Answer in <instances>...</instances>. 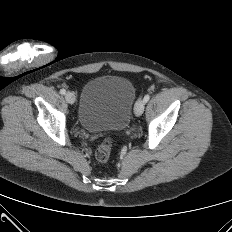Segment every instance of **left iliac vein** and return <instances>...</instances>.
Wrapping results in <instances>:
<instances>
[{
  "mask_svg": "<svg viewBox=\"0 0 232 232\" xmlns=\"http://www.w3.org/2000/svg\"><path fill=\"white\" fill-rule=\"evenodd\" d=\"M145 108V102L142 99L137 100L135 107H134V113L136 116L142 115Z\"/></svg>",
  "mask_w": 232,
  "mask_h": 232,
  "instance_id": "4c4485c4",
  "label": "left iliac vein"
}]
</instances>
